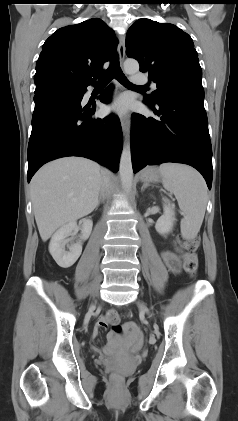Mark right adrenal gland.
Wrapping results in <instances>:
<instances>
[{
	"label": "right adrenal gland",
	"mask_w": 238,
	"mask_h": 421,
	"mask_svg": "<svg viewBox=\"0 0 238 421\" xmlns=\"http://www.w3.org/2000/svg\"><path fill=\"white\" fill-rule=\"evenodd\" d=\"M104 199H105L104 193H101L98 203H97V207L100 205L101 202H104Z\"/></svg>",
	"instance_id": "right-adrenal-gland-1"
}]
</instances>
